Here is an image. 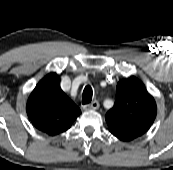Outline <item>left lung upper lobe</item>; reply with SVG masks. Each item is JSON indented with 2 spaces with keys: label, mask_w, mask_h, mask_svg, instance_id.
<instances>
[{
  "label": "left lung upper lobe",
  "mask_w": 173,
  "mask_h": 170,
  "mask_svg": "<svg viewBox=\"0 0 173 170\" xmlns=\"http://www.w3.org/2000/svg\"><path fill=\"white\" fill-rule=\"evenodd\" d=\"M117 100L106 116L109 131L122 141H131L148 131L156 117V103L136 77L120 80Z\"/></svg>",
  "instance_id": "obj_1"
}]
</instances>
